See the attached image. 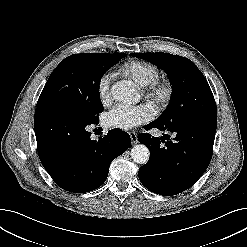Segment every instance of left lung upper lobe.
Masks as SVG:
<instances>
[{"instance_id":"obj_1","label":"left lung upper lobe","mask_w":247,"mask_h":247,"mask_svg":"<svg viewBox=\"0 0 247 247\" xmlns=\"http://www.w3.org/2000/svg\"><path fill=\"white\" fill-rule=\"evenodd\" d=\"M163 69L173 85L170 103L155 120L164 126L182 122L217 123V109L207 80L189 59L168 53H131Z\"/></svg>"}]
</instances>
